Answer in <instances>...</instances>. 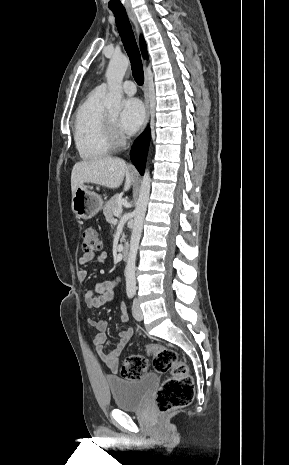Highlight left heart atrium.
Returning a JSON list of instances; mask_svg holds the SVG:
<instances>
[{
    "instance_id": "obj_1",
    "label": "left heart atrium",
    "mask_w": 289,
    "mask_h": 465,
    "mask_svg": "<svg viewBox=\"0 0 289 465\" xmlns=\"http://www.w3.org/2000/svg\"><path fill=\"white\" fill-rule=\"evenodd\" d=\"M145 118V108L137 98L126 99L120 116V126L125 132H135L142 125Z\"/></svg>"
}]
</instances>
